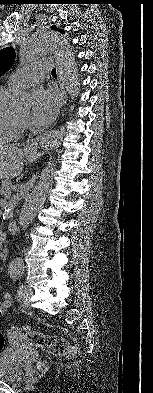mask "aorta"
<instances>
[{
	"label": "aorta",
	"mask_w": 153,
	"mask_h": 393,
	"mask_svg": "<svg viewBox=\"0 0 153 393\" xmlns=\"http://www.w3.org/2000/svg\"><path fill=\"white\" fill-rule=\"evenodd\" d=\"M52 53L55 58L59 79L64 83L69 95L75 98L79 95V75L73 49L69 42L59 33L51 30L38 31L24 41L20 49V59L31 62ZM31 105V97L26 92L14 93L9 107L12 111H21ZM62 141L59 131H49L40 140L44 148L58 146ZM45 195V187L39 181L28 194L19 216V225L26 229L35 218ZM23 259L17 257L10 261V273L17 276L21 273Z\"/></svg>",
	"instance_id": "1"
}]
</instances>
